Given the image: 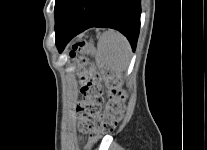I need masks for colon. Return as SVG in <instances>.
I'll list each match as a JSON object with an SVG mask.
<instances>
[{"instance_id":"colon-1","label":"colon","mask_w":207,"mask_h":150,"mask_svg":"<svg viewBox=\"0 0 207 150\" xmlns=\"http://www.w3.org/2000/svg\"><path fill=\"white\" fill-rule=\"evenodd\" d=\"M92 51L87 42L80 40L74 45L71 54ZM100 69L109 87V99L103 111L99 73L89 60L82 59L78 66L83 101L77 105L76 110L80 119V131L87 133L90 140L113 131L122 119L127 98L118 73L105 63H100Z\"/></svg>"}]
</instances>
